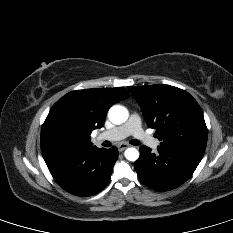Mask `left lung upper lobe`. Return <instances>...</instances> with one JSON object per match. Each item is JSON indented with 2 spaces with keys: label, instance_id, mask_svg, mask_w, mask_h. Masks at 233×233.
Instances as JSON below:
<instances>
[{
  "label": "left lung upper lobe",
  "instance_id": "left-lung-upper-lobe-1",
  "mask_svg": "<svg viewBox=\"0 0 233 233\" xmlns=\"http://www.w3.org/2000/svg\"><path fill=\"white\" fill-rule=\"evenodd\" d=\"M128 89L140 104L148 127L156 129L160 146L206 148L203 112L188 92L164 84Z\"/></svg>",
  "mask_w": 233,
  "mask_h": 233
}]
</instances>
